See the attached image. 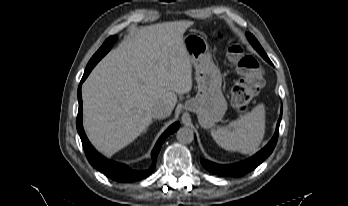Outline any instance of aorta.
<instances>
[{
    "instance_id": "1",
    "label": "aorta",
    "mask_w": 348,
    "mask_h": 206,
    "mask_svg": "<svg viewBox=\"0 0 348 206\" xmlns=\"http://www.w3.org/2000/svg\"><path fill=\"white\" fill-rule=\"evenodd\" d=\"M176 138L182 144H189L194 140V132L189 127H181L176 132Z\"/></svg>"
}]
</instances>
